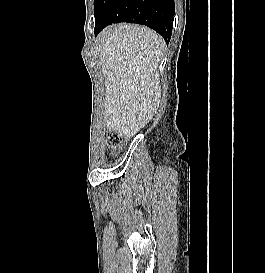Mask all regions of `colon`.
Returning a JSON list of instances; mask_svg holds the SVG:
<instances>
[{"label": "colon", "mask_w": 265, "mask_h": 273, "mask_svg": "<svg viewBox=\"0 0 265 273\" xmlns=\"http://www.w3.org/2000/svg\"><path fill=\"white\" fill-rule=\"evenodd\" d=\"M122 138H123L122 134L116 130H111L108 133V142L113 146L120 144Z\"/></svg>", "instance_id": "5ec220e1"}]
</instances>
